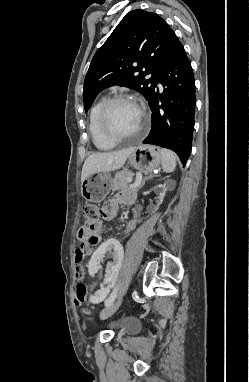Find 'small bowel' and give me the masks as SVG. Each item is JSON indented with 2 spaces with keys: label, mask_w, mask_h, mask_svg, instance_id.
Returning <instances> with one entry per match:
<instances>
[{
  "label": "small bowel",
  "mask_w": 249,
  "mask_h": 382,
  "mask_svg": "<svg viewBox=\"0 0 249 382\" xmlns=\"http://www.w3.org/2000/svg\"><path fill=\"white\" fill-rule=\"evenodd\" d=\"M134 201V197L131 194L123 193L118 196H115L109 199L100 209V215L104 219H112L115 217L119 204L129 205ZM136 225V220H131L128 223L127 229L132 230ZM100 226L98 222H85L77 231V239L81 243L80 245L83 247L99 246L100 245ZM91 247V246H90ZM93 260V259H92ZM89 270V266H88ZM76 272V271H75ZM90 273V272H89ZM87 298H85L86 300ZM83 298H76L75 304L77 306L83 305Z\"/></svg>",
  "instance_id": "small-bowel-1"
}]
</instances>
